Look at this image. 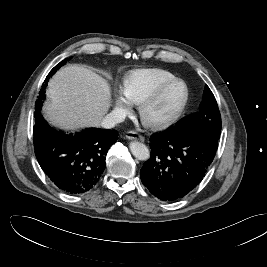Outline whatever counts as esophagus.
Segmentation results:
<instances>
[{
    "mask_svg": "<svg viewBox=\"0 0 267 267\" xmlns=\"http://www.w3.org/2000/svg\"><path fill=\"white\" fill-rule=\"evenodd\" d=\"M125 137L127 139H130V140H139L141 142L144 141V137L142 135H140L139 133L134 132V131L127 132Z\"/></svg>",
    "mask_w": 267,
    "mask_h": 267,
    "instance_id": "1",
    "label": "esophagus"
}]
</instances>
